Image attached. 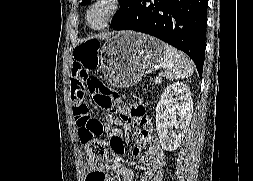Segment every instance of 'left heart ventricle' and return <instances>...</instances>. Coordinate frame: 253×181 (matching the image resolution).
I'll list each match as a JSON object with an SVG mask.
<instances>
[{
	"instance_id": "1",
	"label": "left heart ventricle",
	"mask_w": 253,
	"mask_h": 181,
	"mask_svg": "<svg viewBox=\"0 0 253 181\" xmlns=\"http://www.w3.org/2000/svg\"><path fill=\"white\" fill-rule=\"evenodd\" d=\"M105 15V9L101 6L96 7L90 14L89 20L92 25H99Z\"/></svg>"
}]
</instances>
